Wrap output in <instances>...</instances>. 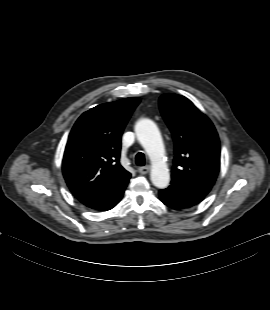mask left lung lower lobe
<instances>
[{"mask_svg": "<svg viewBox=\"0 0 270 310\" xmlns=\"http://www.w3.org/2000/svg\"><path fill=\"white\" fill-rule=\"evenodd\" d=\"M210 188L193 186L172 179L171 185L159 191L161 201L173 209H186L200 203Z\"/></svg>", "mask_w": 270, "mask_h": 310, "instance_id": "left-lung-lower-lobe-1", "label": "left lung lower lobe"}]
</instances>
